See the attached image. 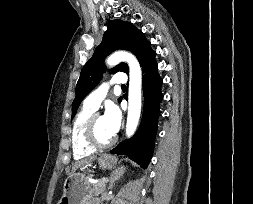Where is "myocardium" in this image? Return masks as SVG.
<instances>
[{"label": "myocardium", "instance_id": "1", "mask_svg": "<svg viewBox=\"0 0 253 204\" xmlns=\"http://www.w3.org/2000/svg\"><path fill=\"white\" fill-rule=\"evenodd\" d=\"M98 116H100L99 113H93L89 118L85 127V139L87 143L95 149H106L111 147L116 142L117 137L114 135L105 142H102L98 139L96 135V120Z\"/></svg>", "mask_w": 253, "mask_h": 204}]
</instances>
